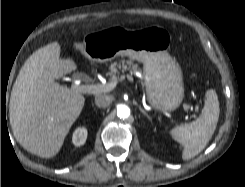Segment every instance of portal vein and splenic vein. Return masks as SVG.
Wrapping results in <instances>:
<instances>
[{"label":"portal vein and splenic vein","instance_id":"1","mask_svg":"<svg viewBox=\"0 0 245 187\" xmlns=\"http://www.w3.org/2000/svg\"><path fill=\"white\" fill-rule=\"evenodd\" d=\"M125 79V75L121 76V80ZM127 79L129 82L133 83L134 79L132 76L127 75ZM117 85V80H113L107 84H96V85H79L78 83H72L71 89L79 92V93H100V92H110L112 91ZM184 110L189 113L193 111V107L188 105H184Z\"/></svg>","mask_w":245,"mask_h":187}]
</instances>
